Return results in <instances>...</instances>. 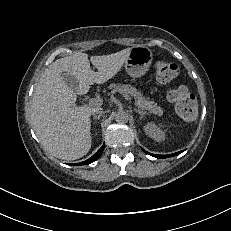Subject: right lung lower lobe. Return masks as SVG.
<instances>
[{
  "instance_id": "98d812e1",
  "label": "right lung lower lobe",
  "mask_w": 231,
  "mask_h": 231,
  "mask_svg": "<svg viewBox=\"0 0 231 231\" xmlns=\"http://www.w3.org/2000/svg\"><path fill=\"white\" fill-rule=\"evenodd\" d=\"M104 147L105 145H103L91 158H89L88 160L86 161H83L81 163H77V164H74V165H87V164H90L92 162H94L95 160H97L100 155L102 154L103 150H104Z\"/></svg>"
}]
</instances>
